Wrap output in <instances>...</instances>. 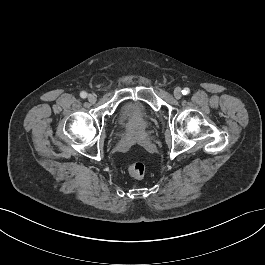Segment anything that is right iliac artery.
I'll list each match as a JSON object with an SVG mask.
<instances>
[{
  "label": "right iliac artery",
  "instance_id": "right-iliac-artery-1",
  "mask_svg": "<svg viewBox=\"0 0 265 265\" xmlns=\"http://www.w3.org/2000/svg\"><path fill=\"white\" fill-rule=\"evenodd\" d=\"M87 95H88V94H87L86 92H84V91L80 93V97H81V98H86Z\"/></svg>",
  "mask_w": 265,
  "mask_h": 265
}]
</instances>
